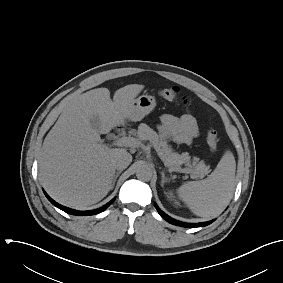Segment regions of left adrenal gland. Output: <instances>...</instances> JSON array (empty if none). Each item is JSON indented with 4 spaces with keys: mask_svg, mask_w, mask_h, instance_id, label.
I'll use <instances>...</instances> for the list:
<instances>
[{
    "mask_svg": "<svg viewBox=\"0 0 283 283\" xmlns=\"http://www.w3.org/2000/svg\"><path fill=\"white\" fill-rule=\"evenodd\" d=\"M161 177H162V179H161V186L163 187L164 183L168 182L170 179L165 176V173L163 171H161Z\"/></svg>",
    "mask_w": 283,
    "mask_h": 283,
    "instance_id": "left-adrenal-gland-1",
    "label": "left adrenal gland"
}]
</instances>
